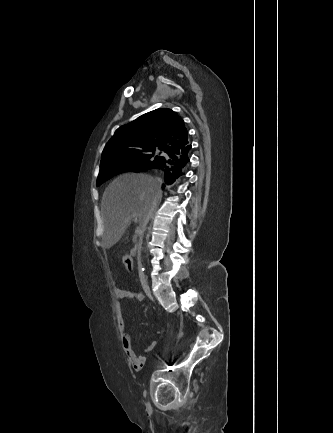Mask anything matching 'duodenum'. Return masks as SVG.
Returning <instances> with one entry per match:
<instances>
[{"mask_svg":"<svg viewBox=\"0 0 333 433\" xmlns=\"http://www.w3.org/2000/svg\"><path fill=\"white\" fill-rule=\"evenodd\" d=\"M130 250H131L132 252H135V251H136V248H135V247H132ZM130 256L133 258L135 255L132 253Z\"/></svg>","mask_w":333,"mask_h":433,"instance_id":"duodenum-1","label":"duodenum"}]
</instances>
